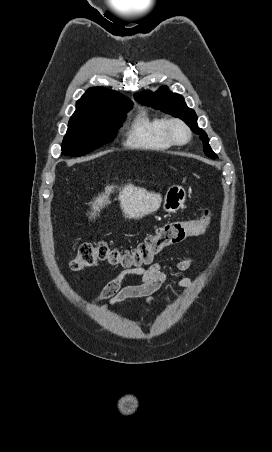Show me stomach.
<instances>
[{
  "label": "stomach",
  "mask_w": 272,
  "mask_h": 452,
  "mask_svg": "<svg viewBox=\"0 0 272 452\" xmlns=\"http://www.w3.org/2000/svg\"><path fill=\"white\" fill-rule=\"evenodd\" d=\"M186 200V189L183 186L174 184L169 187L165 195L163 209L167 213H176L184 208Z\"/></svg>",
  "instance_id": "stomach-1"
}]
</instances>
